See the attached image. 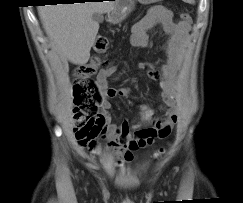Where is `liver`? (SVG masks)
<instances>
[{
	"label": "liver",
	"instance_id": "liver-1",
	"mask_svg": "<svg viewBox=\"0 0 243 203\" xmlns=\"http://www.w3.org/2000/svg\"><path fill=\"white\" fill-rule=\"evenodd\" d=\"M113 1L43 5L38 12L53 46L76 65H84L90 58L99 24L93 13H108Z\"/></svg>",
	"mask_w": 243,
	"mask_h": 203
}]
</instances>
